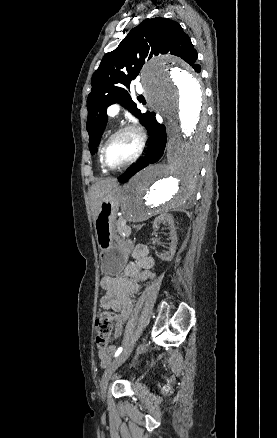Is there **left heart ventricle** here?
<instances>
[{
    "instance_id": "left-heart-ventricle-1",
    "label": "left heart ventricle",
    "mask_w": 277,
    "mask_h": 438,
    "mask_svg": "<svg viewBox=\"0 0 277 438\" xmlns=\"http://www.w3.org/2000/svg\"><path fill=\"white\" fill-rule=\"evenodd\" d=\"M137 149V140L131 134H123L115 138L107 149V161L111 166H119L127 162Z\"/></svg>"
}]
</instances>
